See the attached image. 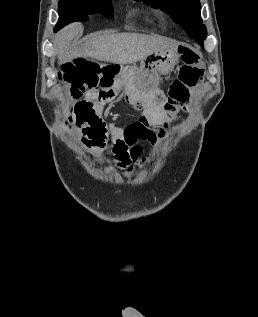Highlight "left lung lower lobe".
Instances as JSON below:
<instances>
[{
    "instance_id": "1",
    "label": "left lung lower lobe",
    "mask_w": 258,
    "mask_h": 317,
    "mask_svg": "<svg viewBox=\"0 0 258 317\" xmlns=\"http://www.w3.org/2000/svg\"><path fill=\"white\" fill-rule=\"evenodd\" d=\"M196 41H197L201 46H203V41H204V39H196Z\"/></svg>"
}]
</instances>
